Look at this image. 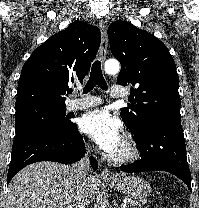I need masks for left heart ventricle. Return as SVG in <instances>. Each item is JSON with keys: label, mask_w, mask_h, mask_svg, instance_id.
<instances>
[{"label": "left heart ventricle", "mask_w": 199, "mask_h": 208, "mask_svg": "<svg viewBox=\"0 0 199 208\" xmlns=\"http://www.w3.org/2000/svg\"><path fill=\"white\" fill-rule=\"evenodd\" d=\"M125 153H126V148L122 141L121 144L117 148H115V150L111 154L115 156H121L124 155Z\"/></svg>", "instance_id": "obj_1"}]
</instances>
